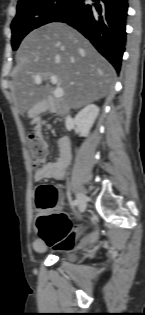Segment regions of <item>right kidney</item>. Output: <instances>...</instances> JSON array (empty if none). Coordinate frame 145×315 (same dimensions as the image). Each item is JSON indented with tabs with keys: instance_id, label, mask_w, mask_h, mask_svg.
Segmentation results:
<instances>
[{
	"instance_id": "1",
	"label": "right kidney",
	"mask_w": 145,
	"mask_h": 315,
	"mask_svg": "<svg viewBox=\"0 0 145 315\" xmlns=\"http://www.w3.org/2000/svg\"><path fill=\"white\" fill-rule=\"evenodd\" d=\"M99 107L95 104L85 106L74 118V123L81 136L86 137L89 134L98 114Z\"/></svg>"
}]
</instances>
